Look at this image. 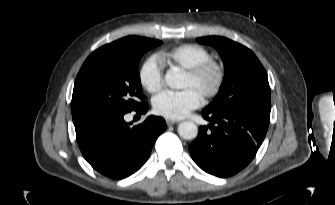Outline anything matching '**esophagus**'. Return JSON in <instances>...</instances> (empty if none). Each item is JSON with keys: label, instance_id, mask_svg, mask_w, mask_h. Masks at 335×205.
Instances as JSON below:
<instances>
[{"label": "esophagus", "instance_id": "1", "mask_svg": "<svg viewBox=\"0 0 335 205\" xmlns=\"http://www.w3.org/2000/svg\"><path fill=\"white\" fill-rule=\"evenodd\" d=\"M176 123H177V121H175V120H166V124H167L168 126L174 125V124H176Z\"/></svg>", "mask_w": 335, "mask_h": 205}]
</instances>
